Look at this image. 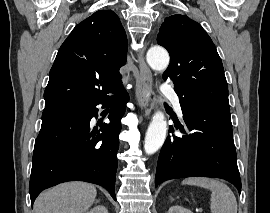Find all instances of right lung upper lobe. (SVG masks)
<instances>
[{"label":"right lung upper lobe","instance_id":"obj_1","mask_svg":"<svg viewBox=\"0 0 270 213\" xmlns=\"http://www.w3.org/2000/svg\"><path fill=\"white\" fill-rule=\"evenodd\" d=\"M127 39L119 17L100 10L79 23L61 45L44 92L45 108L83 104L122 87Z\"/></svg>","mask_w":270,"mask_h":213}]
</instances>
